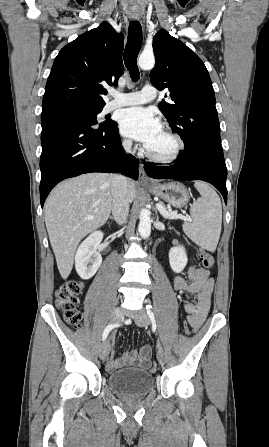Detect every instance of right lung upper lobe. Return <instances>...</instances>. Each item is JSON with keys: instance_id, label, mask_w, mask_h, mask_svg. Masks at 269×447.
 <instances>
[{"instance_id": "right-lung-upper-lobe-1", "label": "right lung upper lobe", "mask_w": 269, "mask_h": 447, "mask_svg": "<svg viewBox=\"0 0 269 447\" xmlns=\"http://www.w3.org/2000/svg\"><path fill=\"white\" fill-rule=\"evenodd\" d=\"M123 45V34L104 22L62 48L47 80L42 111L105 105L104 85L117 86L124 72Z\"/></svg>"}]
</instances>
